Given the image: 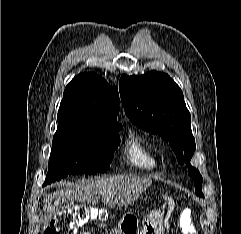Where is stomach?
Returning <instances> with one entry per match:
<instances>
[{"instance_id": "0dacf381", "label": "stomach", "mask_w": 241, "mask_h": 234, "mask_svg": "<svg viewBox=\"0 0 241 234\" xmlns=\"http://www.w3.org/2000/svg\"><path fill=\"white\" fill-rule=\"evenodd\" d=\"M119 230V234H164L163 215L160 211H153L143 219L141 226L135 216L124 215L119 223Z\"/></svg>"}]
</instances>
